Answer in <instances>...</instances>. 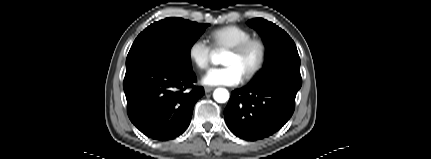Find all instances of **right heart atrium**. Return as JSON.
Masks as SVG:
<instances>
[{
    "mask_svg": "<svg viewBox=\"0 0 431 159\" xmlns=\"http://www.w3.org/2000/svg\"><path fill=\"white\" fill-rule=\"evenodd\" d=\"M190 61L199 69H206L210 63L213 48L203 38H197L191 42L187 50Z\"/></svg>",
    "mask_w": 431,
    "mask_h": 159,
    "instance_id": "right-heart-atrium-1",
    "label": "right heart atrium"
}]
</instances>
